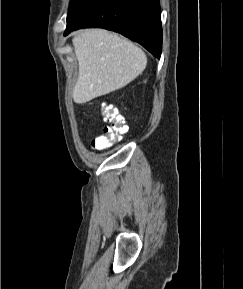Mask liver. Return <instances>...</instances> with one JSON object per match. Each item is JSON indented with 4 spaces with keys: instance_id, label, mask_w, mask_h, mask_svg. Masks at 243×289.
<instances>
[{
    "instance_id": "liver-1",
    "label": "liver",
    "mask_w": 243,
    "mask_h": 289,
    "mask_svg": "<svg viewBox=\"0 0 243 289\" xmlns=\"http://www.w3.org/2000/svg\"><path fill=\"white\" fill-rule=\"evenodd\" d=\"M72 41L79 65L73 91L77 104L125 87L146 68L144 51L109 31L83 30Z\"/></svg>"
}]
</instances>
